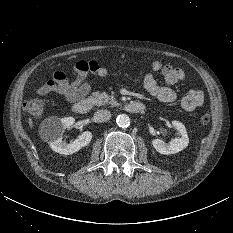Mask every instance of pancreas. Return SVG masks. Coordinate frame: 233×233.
Here are the masks:
<instances>
[{
    "label": "pancreas",
    "instance_id": "cf45deb5",
    "mask_svg": "<svg viewBox=\"0 0 233 233\" xmlns=\"http://www.w3.org/2000/svg\"><path fill=\"white\" fill-rule=\"evenodd\" d=\"M92 95L95 98V103L97 106H102L106 104H110L111 106L118 105L114 96H110L106 93H101V92H94Z\"/></svg>",
    "mask_w": 233,
    "mask_h": 233
}]
</instances>
